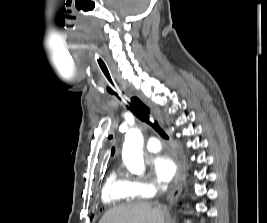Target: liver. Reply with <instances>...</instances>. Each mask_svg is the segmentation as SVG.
<instances>
[{"label":"liver","mask_w":267,"mask_h":223,"mask_svg":"<svg viewBox=\"0 0 267 223\" xmlns=\"http://www.w3.org/2000/svg\"><path fill=\"white\" fill-rule=\"evenodd\" d=\"M165 210L149 202H134L113 207L99 223H164Z\"/></svg>","instance_id":"obj_1"}]
</instances>
